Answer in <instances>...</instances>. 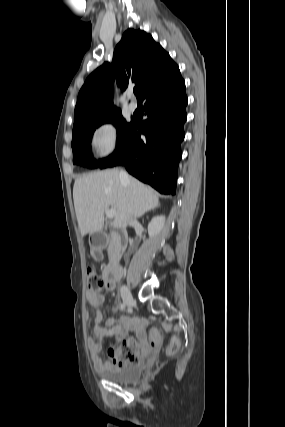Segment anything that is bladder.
<instances>
[{
	"instance_id": "bladder-1",
	"label": "bladder",
	"mask_w": 285,
	"mask_h": 427,
	"mask_svg": "<svg viewBox=\"0 0 285 427\" xmlns=\"http://www.w3.org/2000/svg\"><path fill=\"white\" fill-rule=\"evenodd\" d=\"M142 372V364L136 362L119 368L103 371L102 375L110 382L125 384L138 380L141 377Z\"/></svg>"
}]
</instances>
